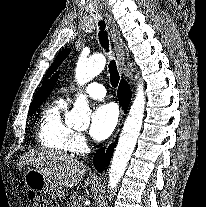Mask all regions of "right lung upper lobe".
<instances>
[{"mask_svg":"<svg viewBox=\"0 0 206 207\" xmlns=\"http://www.w3.org/2000/svg\"><path fill=\"white\" fill-rule=\"evenodd\" d=\"M58 76H59V72H57L44 86H42L38 90L36 96L34 97L31 103L30 109L39 107L46 100V98L49 96V94L53 90L57 82Z\"/></svg>","mask_w":206,"mask_h":207,"instance_id":"1","label":"right lung upper lobe"}]
</instances>
